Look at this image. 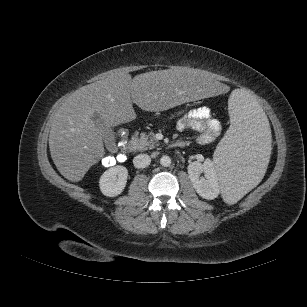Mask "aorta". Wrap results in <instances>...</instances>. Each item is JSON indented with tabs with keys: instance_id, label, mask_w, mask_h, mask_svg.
I'll list each match as a JSON object with an SVG mask.
<instances>
[{
	"instance_id": "aorta-1",
	"label": "aorta",
	"mask_w": 307,
	"mask_h": 307,
	"mask_svg": "<svg viewBox=\"0 0 307 307\" xmlns=\"http://www.w3.org/2000/svg\"><path fill=\"white\" fill-rule=\"evenodd\" d=\"M160 164L163 166V167H168L171 165V158L167 155H164L161 157L160 159Z\"/></svg>"
}]
</instances>
